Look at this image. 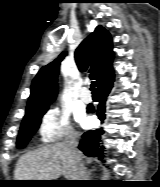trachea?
I'll return each instance as SVG.
<instances>
[{"instance_id": "3493384b", "label": "trachea", "mask_w": 160, "mask_h": 187, "mask_svg": "<svg viewBox=\"0 0 160 187\" xmlns=\"http://www.w3.org/2000/svg\"><path fill=\"white\" fill-rule=\"evenodd\" d=\"M95 87H96V83H95V81H93V82L91 83V86H90V90L92 91V93H96Z\"/></svg>"}]
</instances>
